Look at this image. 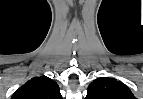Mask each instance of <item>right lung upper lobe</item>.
Listing matches in <instances>:
<instances>
[{
  "label": "right lung upper lobe",
  "instance_id": "right-lung-upper-lobe-1",
  "mask_svg": "<svg viewBox=\"0 0 143 99\" xmlns=\"http://www.w3.org/2000/svg\"><path fill=\"white\" fill-rule=\"evenodd\" d=\"M11 99H62V96L55 81L47 76H41L27 81Z\"/></svg>",
  "mask_w": 143,
  "mask_h": 99
}]
</instances>
